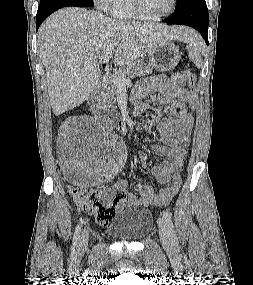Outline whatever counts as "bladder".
Wrapping results in <instances>:
<instances>
[{
	"label": "bladder",
	"mask_w": 253,
	"mask_h": 285,
	"mask_svg": "<svg viewBox=\"0 0 253 285\" xmlns=\"http://www.w3.org/2000/svg\"><path fill=\"white\" fill-rule=\"evenodd\" d=\"M153 226V214L141 206H122L107 225V234L116 240L137 241Z\"/></svg>",
	"instance_id": "31cf9c89"
}]
</instances>
